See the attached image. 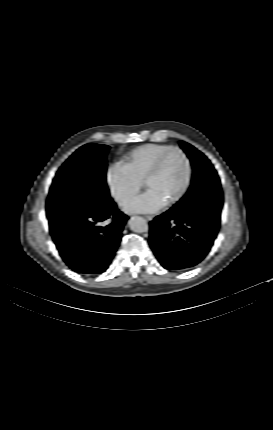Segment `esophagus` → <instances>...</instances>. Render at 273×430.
Returning <instances> with one entry per match:
<instances>
[{"label":"esophagus","instance_id":"1","mask_svg":"<svg viewBox=\"0 0 273 430\" xmlns=\"http://www.w3.org/2000/svg\"><path fill=\"white\" fill-rule=\"evenodd\" d=\"M145 218L148 221H152L153 220V216H151V215H147V216H145Z\"/></svg>","mask_w":273,"mask_h":430}]
</instances>
